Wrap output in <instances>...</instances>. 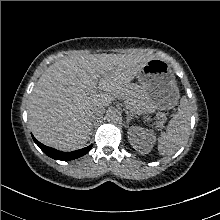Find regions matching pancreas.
<instances>
[{"label": "pancreas", "instance_id": "pancreas-1", "mask_svg": "<svg viewBox=\"0 0 220 220\" xmlns=\"http://www.w3.org/2000/svg\"><path fill=\"white\" fill-rule=\"evenodd\" d=\"M140 94V86L133 83L128 85L126 92H124L121 96L123 97L127 107L135 110L140 99Z\"/></svg>", "mask_w": 220, "mask_h": 220}]
</instances>
